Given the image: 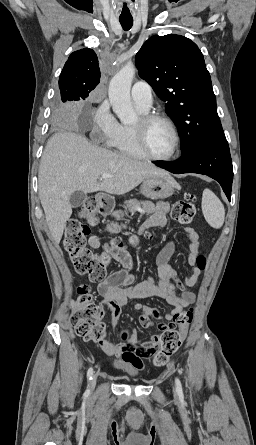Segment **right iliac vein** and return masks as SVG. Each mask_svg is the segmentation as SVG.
Segmentation results:
<instances>
[{
	"label": "right iliac vein",
	"instance_id": "obj_1",
	"mask_svg": "<svg viewBox=\"0 0 256 445\" xmlns=\"http://www.w3.org/2000/svg\"><path fill=\"white\" fill-rule=\"evenodd\" d=\"M97 377L94 375L91 379V389L93 390L96 386Z\"/></svg>",
	"mask_w": 256,
	"mask_h": 445
}]
</instances>
